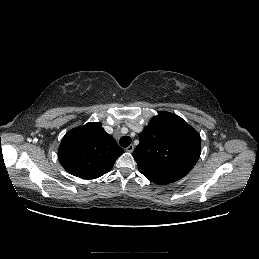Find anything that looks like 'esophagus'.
<instances>
[{
  "label": "esophagus",
  "mask_w": 259,
  "mask_h": 259,
  "mask_svg": "<svg viewBox=\"0 0 259 259\" xmlns=\"http://www.w3.org/2000/svg\"><path fill=\"white\" fill-rule=\"evenodd\" d=\"M126 151H127V152H130V153L133 152V151H134V145H132V144L129 145V146L126 148Z\"/></svg>",
  "instance_id": "obj_1"
}]
</instances>
